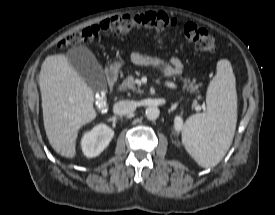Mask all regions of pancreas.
Instances as JSON below:
<instances>
[{"label":"pancreas","instance_id":"cf45deb5","mask_svg":"<svg viewBox=\"0 0 275 215\" xmlns=\"http://www.w3.org/2000/svg\"><path fill=\"white\" fill-rule=\"evenodd\" d=\"M179 80L181 82H183V87L185 89H187L190 93H196V94L199 93V87L201 86V84H197L195 80L191 81L190 78H183V77H180ZM121 88L123 90H126V89H130V90H133V91L136 90V85H135V79H134V77L132 75H129L122 82ZM197 98L199 99L200 96L197 95ZM192 106L193 107L197 106V100L193 101Z\"/></svg>","mask_w":275,"mask_h":215}]
</instances>
